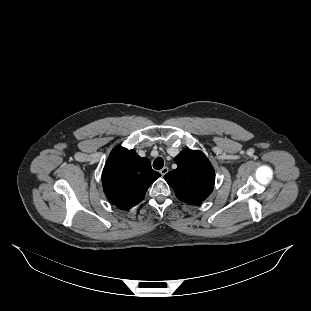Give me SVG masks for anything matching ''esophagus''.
Listing matches in <instances>:
<instances>
[{
  "label": "esophagus",
  "instance_id": "esophagus-1",
  "mask_svg": "<svg viewBox=\"0 0 311 311\" xmlns=\"http://www.w3.org/2000/svg\"><path fill=\"white\" fill-rule=\"evenodd\" d=\"M168 171H169V168H168V167H163V168L160 170V173H161L162 176H164Z\"/></svg>",
  "mask_w": 311,
  "mask_h": 311
}]
</instances>
